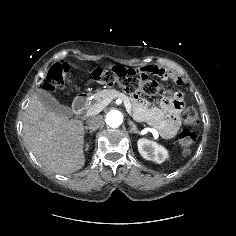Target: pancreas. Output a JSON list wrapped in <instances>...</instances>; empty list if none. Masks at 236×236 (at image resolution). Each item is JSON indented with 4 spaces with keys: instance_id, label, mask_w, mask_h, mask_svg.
I'll use <instances>...</instances> for the list:
<instances>
[{
    "instance_id": "1",
    "label": "pancreas",
    "mask_w": 236,
    "mask_h": 236,
    "mask_svg": "<svg viewBox=\"0 0 236 236\" xmlns=\"http://www.w3.org/2000/svg\"><path fill=\"white\" fill-rule=\"evenodd\" d=\"M121 94L119 91L115 90V89H105L102 91L97 92L94 96H95V100L99 102V104H101L103 102L104 99L106 98H121ZM124 95V94H123ZM124 97L129 101L130 106H131V99L124 95ZM94 105H97V103H94Z\"/></svg>"
}]
</instances>
